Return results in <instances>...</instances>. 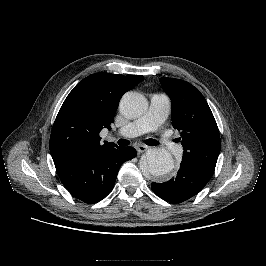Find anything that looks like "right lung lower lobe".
<instances>
[{"label":"right lung lower lobe","instance_id":"1","mask_svg":"<svg viewBox=\"0 0 266 266\" xmlns=\"http://www.w3.org/2000/svg\"><path fill=\"white\" fill-rule=\"evenodd\" d=\"M136 157L133 147L116 145L54 160L57 174L77 199L94 204L113 189L121 165Z\"/></svg>","mask_w":266,"mask_h":266}]
</instances>
